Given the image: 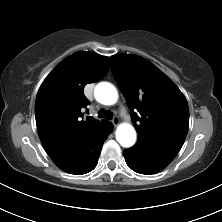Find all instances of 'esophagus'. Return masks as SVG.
Instances as JSON below:
<instances>
[{
	"label": "esophagus",
	"instance_id": "34e87169",
	"mask_svg": "<svg viewBox=\"0 0 222 222\" xmlns=\"http://www.w3.org/2000/svg\"><path fill=\"white\" fill-rule=\"evenodd\" d=\"M112 123L114 126H117L119 124V118L118 117H114L112 120Z\"/></svg>",
	"mask_w": 222,
	"mask_h": 222
}]
</instances>
